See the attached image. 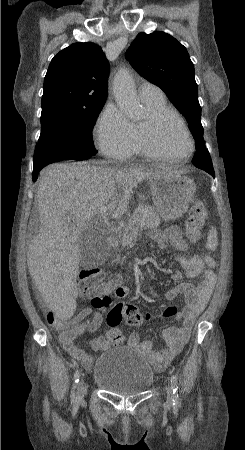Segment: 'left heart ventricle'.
Here are the masks:
<instances>
[{
  "label": "left heart ventricle",
  "instance_id": "1",
  "mask_svg": "<svg viewBox=\"0 0 245 450\" xmlns=\"http://www.w3.org/2000/svg\"><path fill=\"white\" fill-rule=\"evenodd\" d=\"M161 149L172 156L185 155L190 151L189 141L183 130L173 121H167L158 135Z\"/></svg>",
  "mask_w": 245,
  "mask_h": 450
}]
</instances>
